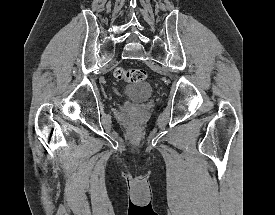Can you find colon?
I'll use <instances>...</instances> for the list:
<instances>
[{
	"label": "colon",
	"instance_id": "5ec220e1",
	"mask_svg": "<svg viewBox=\"0 0 275 215\" xmlns=\"http://www.w3.org/2000/svg\"><path fill=\"white\" fill-rule=\"evenodd\" d=\"M114 76L119 81L128 83L141 82L146 79L147 73L144 69L140 68H122L118 67L114 71Z\"/></svg>",
	"mask_w": 275,
	"mask_h": 215
}]
</instances>
